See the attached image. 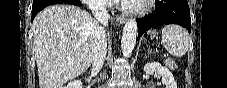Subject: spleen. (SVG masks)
<instances>
[{"label": "spleen", "mask_w": 227, "mask_h": 88, "mask_svg": "<svg viewBox=\"0 0 227 88\" xmlns=\"http://www.w3.org/2000/svg\"><path fill=\"white\" fill-rule=\"evenodd\" d=\"M189 40L188 32L179 25H166L162 29L163 46L175 57H181L188 51Z\"/></svg>", "instance_id": "spleen-1"}]
</instances>
